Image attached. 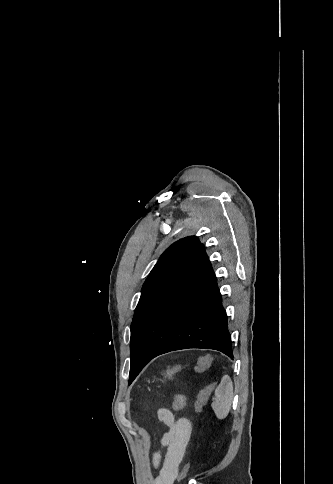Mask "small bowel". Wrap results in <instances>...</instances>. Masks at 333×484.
Listing matches in <instances>:
<instances>
[{
    "label": "small bowel",
    "mask_w": 333,
    "mask_h": 484,
    "mask_svg": "<svg viewBox=\"0 0 333 484\" xmlns=\"http://www.w3.org/2000/svg\"><path fill=\"white\" fill-rule=\"evenodd\" d=\"M157 416L168 427V431L161 439L162 448L166 449L164 457L160 451L153 456L154 467L159 469L155 484H173L191 436L192 425L189 419L176 418L167 408H159Z\"/></svg>",
    "instance_id": "obj_1"
}]
</instances>
